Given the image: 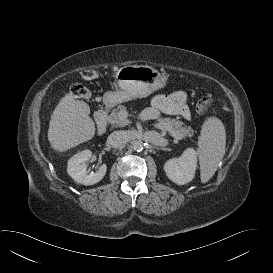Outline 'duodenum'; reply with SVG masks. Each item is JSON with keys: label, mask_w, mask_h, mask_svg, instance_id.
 I'll use <instances>...</instances> for the list:
<instances>
[{"label": "duodenum", "mask_w": 273, "mask_h": 273, "mask_svg": "<svg viewBox=\"0 0 273 273\" xmlns=\"http://www.w3.org/2000/svg\"><path fill=\"white\" fill-rule=\"evenodd\" d=\"M96 132L102 135L107 128V114L104 110L100 109L96 112Z\"/></svg>", "instance_id": "1"}]
</instances>
